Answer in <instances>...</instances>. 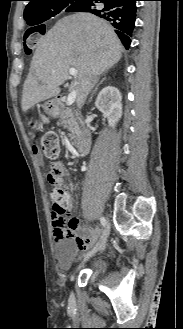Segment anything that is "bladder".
Masks as SVG:
<instances>
[{
	"label": "bladder",
	"instance_id": "obj_1",
	"mask_svg": "<svg viewBox=\"0 0 183 329\" xmlns=\"http://www.w3.org/2000/svg\"><path fill=\"white\" fill-rule=\"evenodd\" d=\"M56 257L59 266L68 270L71 268L77 256V246L70 238H64L55 244ZM107 262L103 258L95 259L91 264V274L96 277H101L105 274Z\"/></svg>",
	"mask_w": 183,
	"mask_h": 329
}]
</instances>
